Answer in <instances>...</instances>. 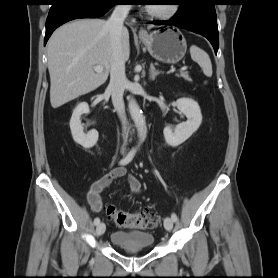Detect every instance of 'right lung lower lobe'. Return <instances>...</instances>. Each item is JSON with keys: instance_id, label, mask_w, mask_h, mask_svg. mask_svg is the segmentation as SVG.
Returning a JSON list of instances; mask_svg holds the SVG:
<instances>
[{"instance_id": "obj_1", "label": "right lung lower lobe", "mask_w": 278, "mask_h": 278, "mask_svg": "<svg viewBox=\"0 0 278 278\" xmlns=\"http://www.w3.org/2000/svg\"><path fill=\"white\" fill-rule=\"evenodd\" d=\"M120 0H55L46 20L44 45L53 31L65 22L78 18H98Z\"/></svg>"}]
</instances>
